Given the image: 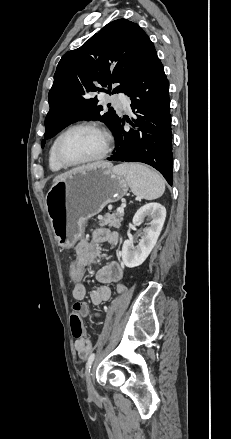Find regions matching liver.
I'll return each instance as SVG.
<instances>
[{"mask_svg":"<svg viewBox=\"0 0 231 439\" xmlns=\"http://www.w3.org/2000/svg\"><path fill=\"white\" fill-rule=\"evenodd\" d=\"M98 163H100V162H98ZM98 163H92V164H88V165H84V166H81V167L74 168V169H72L70 171H67V172H65L63 174H60V175L56 176L54 178L53 182H56V181H58L60 179H63L64 177H67L70 174H73V173H76V172H79V171L91 168V167L97 165Z\"/></svg>","mask_w":231,"mask_h":439,"instance_id":"liver-1","label":"liver"}]
</instances>
